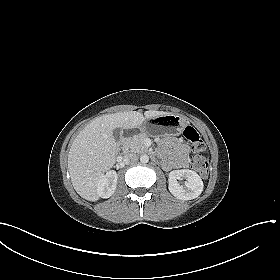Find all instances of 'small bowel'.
Wrapping results in <instances>:
<instances>
[{
    "mask_svg": "<svg viewBox=\"0 0 280 280\" xmlns=\"http://www.w3.org/2000/svg\"><path fill=\"white\" fill-rule=\"evenodd\" d=\"M165 147L172 146V153L168 158L162 160V166L166 170H180L188 166L187 156L189 154L188 145L179 141L176 143H165Z\"/></svg>",
    "mask_w": 280,
    "mask_h": 280,
    "instance_id": "obj_1",
    "label": "small bowel"
}]
</instances>
